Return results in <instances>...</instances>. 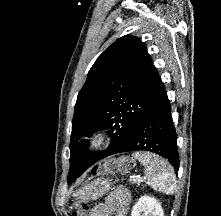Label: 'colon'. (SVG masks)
Masks as SVG:
<instances>
[{"label":"colon","mask_w":221,"mask_h":216,"mask_svg":"<svg viewBox=\"0 0 221 216\" xmlns=\"http://www.w3.org/2000/svg\"><path fill=\"white\" fill-rule=\"evenodd\" d=\"M134 162L128 157H120L116 159H110L105 161L97 169V173H106L110 171L127 172L132 169ZM89 207L87 204H76V210L72 213V216H89Z\"/></svg>","instance_id":"colon-1"}]
</instances>
